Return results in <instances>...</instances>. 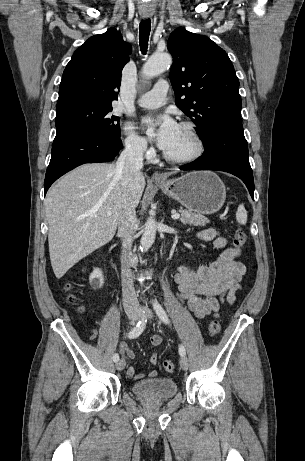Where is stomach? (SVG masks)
<instances>
[{"instance_id":"0dacf381","label":"stomach","mask_w":305,"mask_h":461,"mask_svg":"<svg viewBox=\"0 0 305 461\" xmlns=\"http://www.w3.org/2000/svg\"><path fill=\"white\" fill-rule=\"evenodd\" d=\"M156 184L167 196L197 214L219 211L226 199L224 183L211 171H193Z\"/></svg>"}]
</instances>
